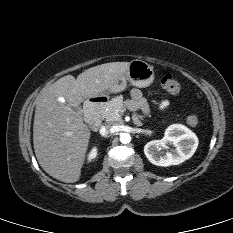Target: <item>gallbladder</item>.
Segmentation results:
<instances>
[{
  "label": "gallbladder",
  "mask_w": 233,
  "mask_h": 233,
  "mask_svg": "<svg viewBox=\"0 0 233 233\" xmlns=\"http://www.w3.org/2000/svg\"><path fill=\"white\" fill-rule=\"evenodd\" d=\"M74 110H76L80 115H82L83 114V112H82V110L79 108V109H77V108H73Z\"/></svg>",
  "instance_id": "obj_1"
}]
</instances>
